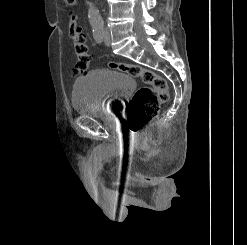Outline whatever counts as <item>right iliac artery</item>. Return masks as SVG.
Segmentation results:
<instances>
[{
	"instance_id": "82829eb1",
	"label": "right iliac artery",
	"mask_w": 247,
	"mask_h": 245,
	"mask_svg": "<svg viewBox=\"0 0 247 245\" xmlns=\"http://www.w3.org/2000/svg\"><path fill=\"white\" fill-rule=\"evenodd\" d=\"M93 37L97 43H102L103 41V26H95L93 28Z\"/></svg>"
}]
</instances>
